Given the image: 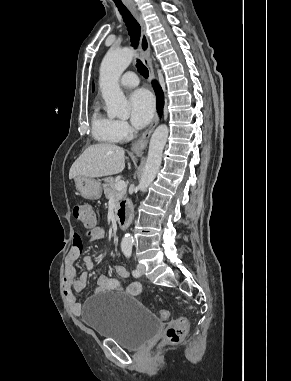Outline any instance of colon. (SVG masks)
<instances>
[{
  "mask_svg": "<svg viewBox=\"0 0 291 381\" xmlns=\"http://www.w3.org/2000/svg\"><path fill=\"white\" fill-rule=\"evenodd\" d=\"M75 221L86 230H91L96 224L94 210L88 205H75L72 210ZM170 312L163 309L159 312L161 320H167ZM188 330V322L185 318H177L172 325L168 327L164 335V343L167 345H176L181 342Z\"/></svg>",
  "mask_w": 291,
  "mask_h": 381,
  "instance_id": "1",
  "label": "colon"
}]
</instances>
